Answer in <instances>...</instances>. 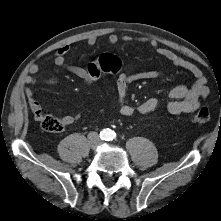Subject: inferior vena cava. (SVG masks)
I'll return each mask as SVG.
<instances>
[{"mask_svg": "<svg viewBox=\"0 0 221 221\" xmlns=\"http://www.w3.org/2000/svg\"><path fill=\"white\" fill-rule=\"evenodd\" d=\"M92 142L97 144L99 142V137L95 134V136L92 138Z\"/></svg>", "mask_w": 221, "mask_h": 221, "instance_id": "1", "label": "inferior vena cava"}]
</instances>
